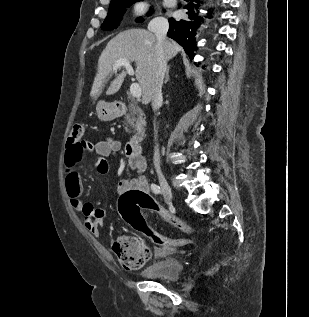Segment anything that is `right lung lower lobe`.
I'll return each instance as SVG.
<instances>
[{
  "mask_svg": "<svg viewBox=\"0 0 309 317\" xmlns=\"http://www.w3.org/2000/svg\"><path fill=\"white\" fill-rule=\"evenodd\" d=\"M202 5L201 0H191L184 7L188 10L187 19L180 21H175L173 18L169 19L170 27L167 35L184 48L190 59L194 57V51L197 49L194 42L196 30L203 22V18L199 16V9L202 8ZM205 17L211 18L210 12Z\"/></svg>",
  "mask_w": 309,
  "mask_h": 317,
  "instance_id": "obj_1",
  "label": "right lung lower lobe"
}]
</instances>
